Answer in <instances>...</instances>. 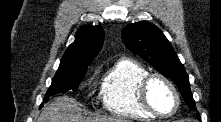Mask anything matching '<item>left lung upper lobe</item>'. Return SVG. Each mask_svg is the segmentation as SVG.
<instances>
[{
	"instance_id": "left-lung-upper-lobe-1",
	"label": "left lung upper lobe",
	"mask_w": 221,
	"mask_h": 122,
	"mask_svg": "<svg viewBox=\"0 0 221 122\" xmlns=\"http://www.w3.org/2000/svg\"><path fill=\"white\" fill-rule=\"evenodd\" d=\"M122 39L128 49L156 68L177 85L190 109L195 108L188 75L164 34L152 23L140 21L127 25ZM199 117V113H197Z\"/></svg>"
}]
</instances>
